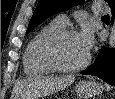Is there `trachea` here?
<instances>
[{
    "label": "trachea",
    "instance_id": "trachea-1",
    "mask_svg": "<svg viewBox=\"0 0 115 99\" xmlns=\"http://www.w3.org/2000/svg\"><path fill=\"white\" fill-rule=\"evenodd\" d=\"M104 18H106V17H109V15H105V16H103Z\"/></svg>",
    "mask_w": 115,
    "mask_h": 99
}]
</instances>
